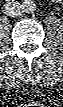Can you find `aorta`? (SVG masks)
Returning <instances> with one entry per match:
<instances>
[{"instance_id":"762f6f07","label":"aorta","mask_w":63,"mask_h":107,"mask_svg":"<svg viewBox=\"0 0 63 107\" xmlns=\"http://www.w3.org/2000/svg\"><path fill=\"white\" fill-rule=\"evenodd\" d=\"M37 8L34 0H25L22 3V10L25 13H33Z\"/></svg>"}]
</instances>
